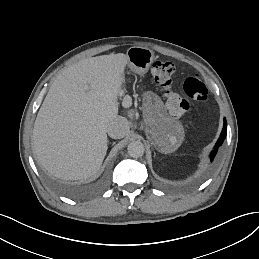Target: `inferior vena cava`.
I'll return each mask as SVG.
<instances>
[{
    "mask_svg": "<svg viewBox=\"0 0 259 259\" xmlns=\"http://www.w3.org/2000/svg\"><path fill=\"white\" fill-rule=\"evenodd\" d=\"M129 131V123L125 117L118 116L109 123L107 132L113 139H120L126 136Z\"/></svg>",
    "mask_w": 259,
    "mask_h": 259,
    "instance_id": "inferior-vena-cava-1",
    "label": "inferior vena cava"
}]
</instances>
